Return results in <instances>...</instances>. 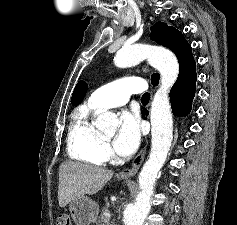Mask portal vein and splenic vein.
Masks as SVG:
<instances>
[{"instance_id":"18ae733b","label":"portal vein and splenic vein","mask_w":237,"mask_h":225,"mask_svg":"<svg viewBox=\"0 0 237 225\" xmlns=\"http://www.w3.org/2000/svg\"><path fill=\"white\" fill-rule=\"evenodd\" d=\"M104 216H105L106 218H110L111 214H110L109 210L106 209V210L104 211Z\"/></svg>"}]
</instances>
